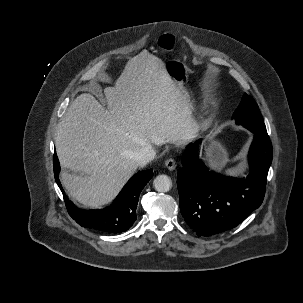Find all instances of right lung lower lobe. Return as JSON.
Returning <instances> with one entry per match:
<instances>
[{
	"mask_svg": "<svg viewBox=\"0 0 303 303\" xmlns=\"http://www.w3.org/2000/svg\"><path fill=\"white\" fill-rule=\"evenodd\" d=\"M53 165L55 180L63 193L69 215L83 227L107 233H121L133 225L140 192L153 176V170L139 171L128 181L110 207L102 210H83L76 207L64 194L59 181L60 164L56 153Z\"/></svg>",
	"mask_w": 303,
	"mask_h": 303,
	"instance_id": "98d812e1",
	"label": "right lung lower lobe"
}]
</instances>
